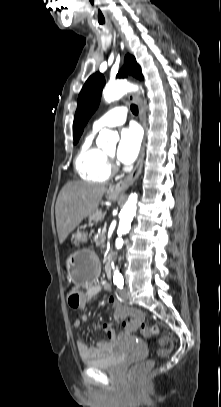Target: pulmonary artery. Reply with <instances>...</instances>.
<instances>
[{
    "label": "pulmonary artery",
    "instance_id": "1",
    "mask_svg": "<svg viewBox=\"0 0 221 407\" xmlns=\"http://www.w3.org/2000/svg\"><path fill=\"white\" fill-rule=\"evenodd\" d=\"M127 109L123 106L115 107L100 118L93 124V131L97 132L106 127H114L122 125L126 121Z\"/></svg>",
    "mask_w": 221,
    "mask_h": 407
}]
</instances>
